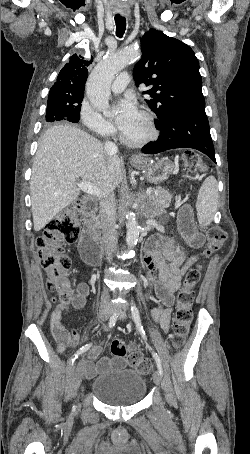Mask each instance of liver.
I'll return each mask as SVG.
<instances>
[{"mask_svg": "<svg viewBox=\"0 0 250 454\" xmlns=\"http://www.w3.org/2000/svg\"><path fill=\"white\" fill-rule=\"evenodd\" d=\"M79 178L107 196L122 181V161L77 127L52 126L44 133L32 166L30 192L35 231L43 229L77 200Z\"/></svg>", "mask_w": 250, "mask_h": 454, "instance_id": "1", "label": "liver"}]
</instances>
